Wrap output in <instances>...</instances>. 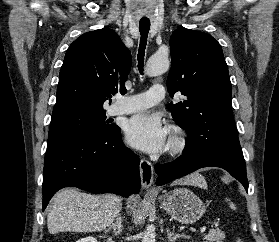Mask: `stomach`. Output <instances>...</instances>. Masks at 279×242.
<instances>
[{
	"instance_id": "stomach-1",
	"label": "stomach",
	"mask_w": 279,
	"mask_h": 242,
	"mask_svg": "<svg viewBox=\"0 0 279 242\" xmlns=\"http://www.w3.org/2000/svg\"><path fill=\"white\" fill-rule=\"evenodd\" d=\"M162 208L176 221L193 224L205 212L202 200L187 188H176L159 197Z\"/></svg>"
}]
</instances>
